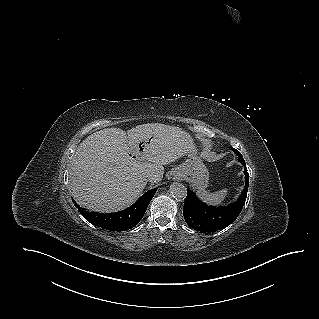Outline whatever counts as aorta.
<instances>
[{
	"mask_svg": "<svg viewBox=\"0 0 319 319\" xmlns=\"http://www.w3.org/2000/svg\"><path fill=\"white\" fill-rule=\"evenodd\" d=\"M170 193L173 196V198L182 200L185 199V197L187 196V189L181 183H173L170 186Z\"/></svg>",
	"mask_w": 319,
	"mask_h": 319,
	"instance_id": "1",
	"label": "aorta"
}]
</instances>
